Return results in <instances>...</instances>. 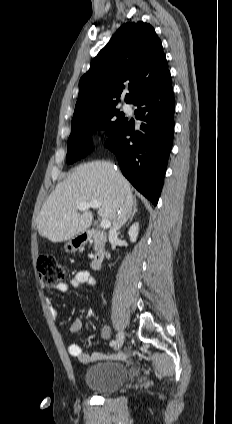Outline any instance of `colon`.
<instances>
[{"label":"colon","mask_w":232,"mask_h":424,"mask_svg":"<svg viewBox=\"0 0 232 424\" xmlns=\"http://www.w3.org/2000/svg\"><path fill=\"white\" fill-rule=\"evenodd\" d=\"M38 275L43 287H54L69 276V268L52 254H43L38 259Z\"/></svg>","instance_id":"1"}]
</instances>
